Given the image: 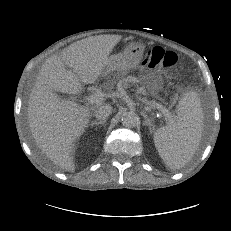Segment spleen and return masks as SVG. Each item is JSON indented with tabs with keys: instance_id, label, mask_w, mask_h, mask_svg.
<instances>
[{
	"instance_id": "3e777b00",
	"label": "spleen",
	"mask_w": 231,
	"mask_h": 231,
	"mask_svg": "<svg viewBox=\"0 0 231 231\" xmlns=\"http://www.w3.org/2000/svg\"><path fill=\"white\" fill-rule=\"evenodd\" d=\"M202 133L200 99L195 92H188L179 101L176 119L154 133V144L167 167L180 169L193 158Z\"/></svg>"
}]
</instances>
